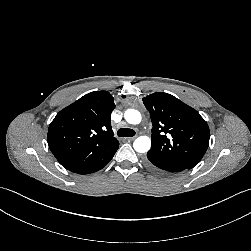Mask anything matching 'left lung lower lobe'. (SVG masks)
I'll list each match as a JSON object with an SVG mask.
<instances>
[{"label": "left lung lower lobe", "instance_id": "left-lung-lower-lobe-1", "mask_svg": "<svg viewBox=\"0 0 251 251\" xmlns=\"http://www.w3.org/2000/svg\"><path fill=\"white\" fill-rule=\"evenodd\" d=\"M146 165L154 172L163 176L174 175L188 169L181 164L154 156L152 154H147Z\"/></svg>", "mask_w": 251, "mask_h": 251}]
</instances>
